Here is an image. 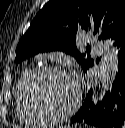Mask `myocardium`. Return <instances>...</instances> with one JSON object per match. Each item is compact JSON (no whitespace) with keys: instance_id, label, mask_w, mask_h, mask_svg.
Returning a JSON list of instances; mask_svg holds the SVG:
<instances>
[{"instance_id":"f54148a6","label":"myocardium","mask_w":125,"mask_h":128,"mask_svg":"<svg viewBox=\"0 0 125 128\" xmlns=\"http://www.w3.org/2000/svg\"><path fill=\"white\" fill-rule=\"evenodd\" d=\"M54 74L65 75L71 78L69 73L61 67L45 66L34 70L28 78L25 86V94L30 108L37 115L38 118L42 119L45 122H59L68 118L76 112L81 102V92L78 87H76L75 100L73 104L65 111L59 113H52L42 107V105L35 96L36 85L44 77Z\"/></svg>"}]
</instances>
